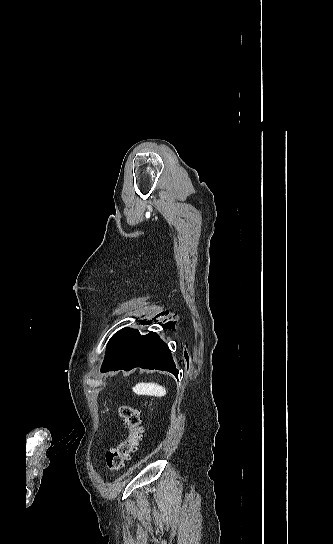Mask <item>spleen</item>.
Here are the masks:
<instances>
[{
    "instance_id": "1",
    "label": "spleen",
    "mask_w": 333,
    "mask_h": 544,
    "mask_svg": "<svg viewBox=\"0 0 333 544\" xmlns=\"http://www.w3.org/2000/svg\"><path fill=\"white\" fill-rule=\"evenodd\" d=\"M133 391L138 395H149L163 397L167 394L165 387L156 383H140L133 387Z\"/></svg>"
}]
</instances>
